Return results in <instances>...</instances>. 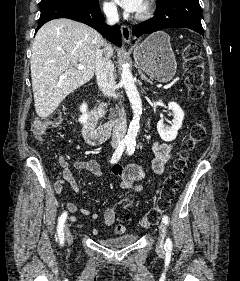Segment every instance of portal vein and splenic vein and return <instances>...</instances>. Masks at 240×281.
Segmentation results:
<instances>
[{
  "label": "portal vein and splenic vein",
  "mask_w": 240,
  "mask_h": 281,
  "mask_svg": "<svg viewBox=\"0 0 240 281\" xmlns=\"http://www.w3.org/2000/svg\"><path fill=\"white\" fill-rule=\"evenodd\" d=\"M77 68H78V70H83L84 69V67L82 65H79ZM178 80H179V77L175 78L172 82H170L169 84L163 86V89H165V90L169 89Z\"/></svg>",
  "instance_id": "obj_1"
}]
</instances>
